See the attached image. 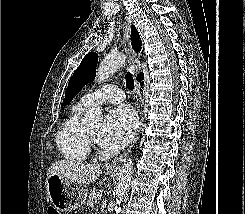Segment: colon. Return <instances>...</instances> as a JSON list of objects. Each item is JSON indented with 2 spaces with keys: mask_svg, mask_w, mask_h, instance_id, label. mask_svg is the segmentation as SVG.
I'll return each instance as SVG.
<instances>
[{
  "mask_svg": "<svg viewBox=\"0 0 245 214\" xmlns=\"http://www.w3.org/2000/svg\"><path fill=\"white\" fill-rule=\"evenodd\" d=\"M49 214H59V212L55 209H50Z\"/></svg>",
  "mask_w": 245,
  "mask_h": 214,
  "instance_id": "1",
  "label": "colon"
}]
</instances>
